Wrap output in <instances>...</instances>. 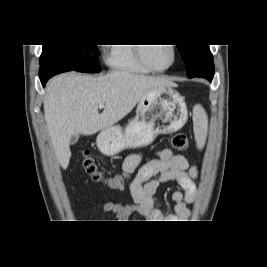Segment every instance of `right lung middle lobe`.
<instances>
[{
    "label": "right lung middle lobe",
    "instance_id": "1",
    "mask_svg": "<svg viewBox=\"0 0 267 267\" xmlns=\"http://www.w3.org/2000/svg\"><path fill=\"white\" fill-rule=\"evenodd\" d=\"M56 63L86 73L101 71L96 45H43L40 65Z\"/></svg>",
    "mask_w": 267,
    "mask_h": 267
}]
</instances>
